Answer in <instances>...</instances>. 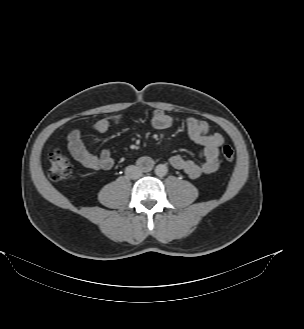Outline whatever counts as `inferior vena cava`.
Wrapping results in <instances>:
<instances>
[{
    "mask_svg": "<svg viewBox=\"0 0 304 329\" xmlns=\"http://www.w3.org/2000/svg\"><path fill=\"white\" fill-rule=\"evenodd\" d=\"M125 174L130 179H138L142 176V170L134 165L126 167Z\"/></svg>",
    "mask_w": 304,
    "mask_h": 329,
    "instance_id": "1",
    "label": "inferior vena cava"
}]
</instances>
